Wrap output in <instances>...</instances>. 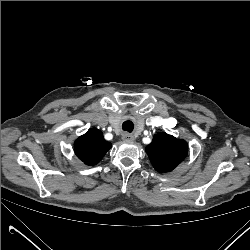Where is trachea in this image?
Listing matches in <instances>:
<instances>
[{
  "label": "trachea",
  "mask_w": 250,
  "mask_h": 250,
  "mask_svg": "<svg viewBox=\"0 0 250 250\" xmlns=\"http://www.w3.org/2000/svg\"><path fill=\"white\" fill-rule=\"evenodd\" d=\"M122 129L124 131H127V132L131 133L133 131V129H134V123L131 120L128 119L125 122H123Z\"/></svg>",
  "instance_id": "trachea-1"
}]
</instances>
